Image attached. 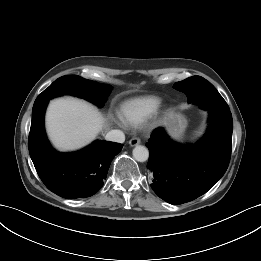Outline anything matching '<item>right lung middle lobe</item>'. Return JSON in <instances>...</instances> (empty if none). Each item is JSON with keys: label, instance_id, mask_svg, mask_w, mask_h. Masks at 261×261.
Listing matches in <instances>:
<instances>
[{"label": "right lung middle lobe", "instance_id": "obj_1", "mask_svg": "<svg viewBox=\"0 0 261 261\" xmlns=\"http://www.w3.org/2000/svg\"><path fill=\"white\" fill-rule=\"evenodd\" d=\"M111 86L108 84H100L90 80L83 79L77 75H65L54 81L47 89H45L35 100L36 107L44 101H48L54 97L61 95H74L102 106L105 102Z\"/></svg>", "mask_w": 261, "mask_h": 261}]
</instances>
